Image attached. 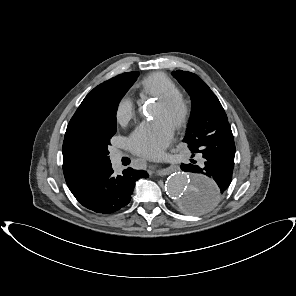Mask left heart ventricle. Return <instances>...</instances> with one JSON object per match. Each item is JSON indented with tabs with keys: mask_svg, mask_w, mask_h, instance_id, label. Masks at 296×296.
Wrapping results in <instances>:
<instances>
[{
	"mask_svg": "<svg viewBox=\"0 0 296 296\" xmlns=\"http://www.w3.org/2000/svg\"><path fill=\"white\" fill-rule=\"evenodd\" d=\"M152 116L156 118H162L166 120L168 123H170L173 126L174 121V112L165 108L160 103H156L155 107L152 111Z\"/></svg>",
	"mask_w": 296,
	"mask_h": 296,
	"instance_id": "b2bd125f",
	"label": "left heart ventricle"
}]
</instances>
